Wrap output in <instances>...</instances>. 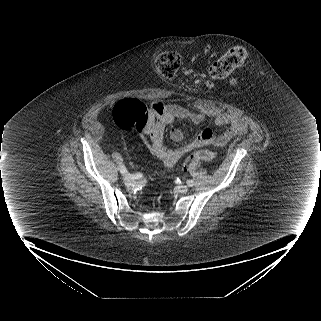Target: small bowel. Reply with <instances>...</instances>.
<instances>
[{"label": "small bowel", "mask_w": 321, "mask_h": 321, "mask_svg": "<svg viewBox=\"0 0 321 321\" xmlns=\"http://www.w3.org/2000/svg\"><path fill=\"white\" fill-rule=\"evenodd\" d=\"M210 47L207 49L205 56H208ZM189 120L194 124H200L205 119L203 112L191 111L180 105L164 104L162 102H153L148 110V122L144 128V134L149 137L150 151L158 158L164 167H173L179 159L193 148L201 145V140L206 138L207 132L211 134V144L215 146H223L230 142L235 136L246 132L247 124L245 120L236 115L228 113H219L214 118L216 126H225L227 129L215 134L211 129H204L197 138L179 148L170 149L164 144V131L166 126L172 124L175 120ZM169 136L172 141L180 142L184 138V134L180 129L174 128L170 131Z\"/></svg>", "instance_id": "small-bowel-1"}]
</instances>
